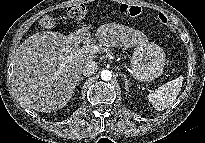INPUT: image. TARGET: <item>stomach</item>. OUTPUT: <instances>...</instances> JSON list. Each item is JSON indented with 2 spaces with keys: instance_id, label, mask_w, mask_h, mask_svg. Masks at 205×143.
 Returning a JSON list of instances; mask_svg holds the SVG:
<instances>
[{
  "instance_id": "1",
  "label": "stomach",
  "mask_w": 205,
  "mask_h": 143,
  "mask_svg": "<svg viewBox=\"0 0 205 143\" xmlns=\"http://www.w3.org/2000/svg\"><path fill=\"white\" fill-rule=\"evenodd\" d=\"M165 61V53L160 46L145 42L136 46L131 58V68L137 79L150 82L162 75Z\"/></svg>"
}]
</instances>
